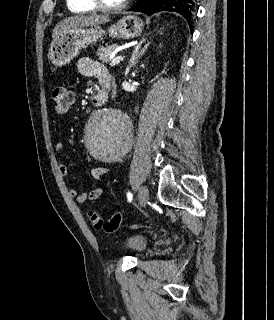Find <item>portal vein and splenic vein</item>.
<instances>
[{
  "label": "portal vein and splenic vein",
  "mask_w": 274,
  "mask_h": 320,
  "mask_svg": "<svg viewBox=\"0 0 274 320\" xmlns=\"http://www.w3.org/2000/svg\"><path fill=\"white\" fill-rule=\"evenodd\" d=\"M121 60H123V56H117V58H110V66H116V64H120Z\"/></svg>",
  "instance_id": "18ae733b"
}]
</instances>
